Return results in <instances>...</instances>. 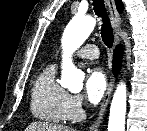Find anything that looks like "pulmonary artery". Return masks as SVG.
<instances>
[{
	"mask_svg": "<svg viewBox=\"0 0 147 131\" xmlns=\"http://www.w3.org/2000/svg\"><path fill=\"white\" fill-rule=\"evenodd\" d=\"M77 56L84 59H96L99 56V50L94 44H87L83 46L78 52Z\"/></svg>",
	"mask_w": 147,
	"mask_h": 131,
	"instance_id": "obj_1",
	"label": "pulmonary artery"
}]
</instances>
